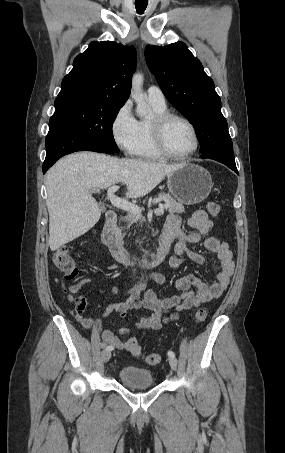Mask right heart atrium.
Segmentation results:
<instances>
[{"instance_id": "d8ad5b80", "label": "right heart atrium", "mask_w": 285, "mask_h": 453, "mask_svg": "<svg viewBox=\"0 0 285 453\" xmlns=\"http://www.w3.org/2000/svg\"><path fill=\"white\" fill-rule=\"evenodd\" d=\"M137 120L129 103L123 104L111 123V133L115 144L127 155H132L136 138Z\"/></svg>"}]
</instances>
